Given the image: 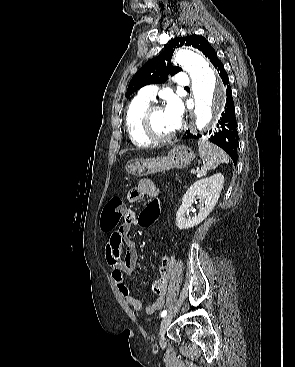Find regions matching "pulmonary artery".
<instances>
[{"instance_id": "e3ab8cb5", "label": "pulmonary artery", "mask_w": 295, "mask_h": 367, "mask_svg": "<svg viewBox=\"0 0 295 367\" xmlns=\"http://www.w3.org/2000/svg\"><path fill=\"white\" fill-rule=\"evenodd\" d=\"M175 82L178 86H181L183 88L189 87L190 85L189 77L184 72H180L176 75ZM156 93H157V87L154 85H149V86L143 87L139 91L138 97L145 99V100L152 101L155 98Z\"/></svg>"}]
</instances>
